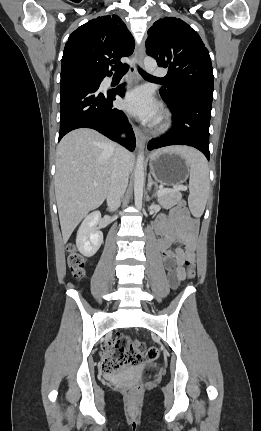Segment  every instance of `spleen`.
<instances>
[{
    "label": "spleen",
    "instance_id": "1",
    "mask_svg": "<svg viewBox=\"0 0 261 431\" xmlns=\"http://www.w3.org/2000/svg\"><path fill=\"white\" fill-rule=\"evenodd\" d=\"M158 151L176 153L189 164L190 194L188 204L193 215L201 216L206 206L210 187L209 170L205 157L197 150L185 146L168 147Z\"/></svg>",
    "mask_w": 261,
    "mask_h": 431
}]
</instances>
